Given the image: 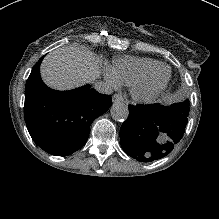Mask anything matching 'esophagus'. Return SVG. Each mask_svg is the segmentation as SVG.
Wrapping results in <instances>:
<instances>
[{
	"instance_id": "1",
	"label": "esophagus",
	"mask_w": 219,
	"mask_h": 219,
	"mask_svg": "<svg viewBox=\"0 0 219 219\" xmlns=\"http://www.w3.org/2000/svg\"><path fill=\"white\" fill-rule=\"evenodd\" d=\"M112 101L113 102H120V101H124V98L121 94H114L112 97Z\"/></svg>"
}]
</instances>
